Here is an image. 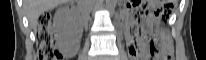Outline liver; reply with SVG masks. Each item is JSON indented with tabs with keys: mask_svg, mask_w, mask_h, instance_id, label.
Returning <instances> with one entry per match:
<instances>
[{
	"mask_svg": "<svg viewBox=\"0 0 206 60\" xmlns=\"http://www.w3.org/2000/svg\"><path fill=\"white\" fill-rule=\"evenodd\" d=\"M65 0H24V8L29 20V24L33 29H36L39 16L48 10H51Z\"/></svg>",
	"mask_w": 206,
	"mask_h": 60,
	"instance_id": "liver-1",
	"label": "liver"
}]
</instances>
